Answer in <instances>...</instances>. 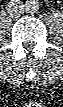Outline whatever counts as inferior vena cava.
I'll use <instances>...</instances> for the list:
<instances>
[{
	"label": "inferior vena cava",
	"instance_id": "inferior-vena-cava-1",
	"mask_svg": "<svg viewBox=\"0 0 63 107\" xmlns=\"http://www.w3.org/2000/svg\"><path fill=\"white\" fill-rule=\"evenodd\" d=\"M6 10L10 15H20L24 12V5L20 1H10L6 5Z\"/></svg>",
	"mask_w": 63,
	"mask_h": 107
}]
</instances>
